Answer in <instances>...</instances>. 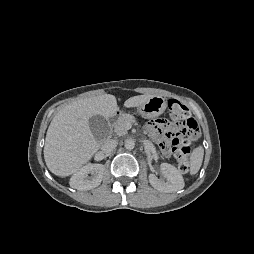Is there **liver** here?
Wrapping results in <instances>:
<instances>
[{
  "label": "liver",
  "mask_w": 254,
  "mask_h": 254,
  "mask_svg": "<svg viewBox=\"0 0 254 254\" xmlns=\"http://www.w3.org/2000/svg\"><path fill=\"white\" fill-rule=\"evenodd\" d=\"M154 95H138L124 102L126 108L139 107ZM118 111L114 95L84 98L62 108L51 121L46 134L44 159L48 169L60 177L69 176L86 164L100 148L89 127V119H108Z\"/></svg>",
  "instance_id": "1"
}]
</instances>
